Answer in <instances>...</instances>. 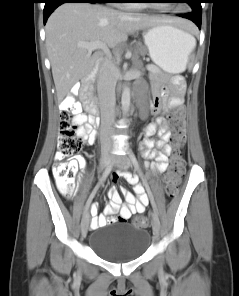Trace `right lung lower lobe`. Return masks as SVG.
Masks as SVG:
<instances>
[{"label":"right lung lower lobe","mask_w":239,"mask_h":296,"mask_svg":"<svg viewBox=\"0 0 239 296\" xmlns=\"http://www.w3.org/2000/svg\"><path fill=\"white\" fill-rule=\"evenodd\" d=\"M44 24L46 23L50 14L63 3H107V0H44Z\"/></svg>","instance_id":"1"}]
</instances>
